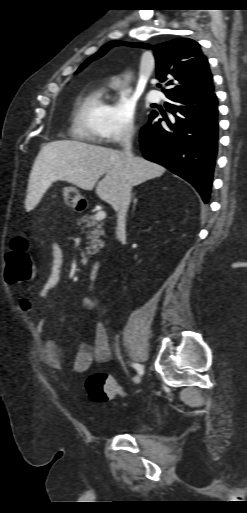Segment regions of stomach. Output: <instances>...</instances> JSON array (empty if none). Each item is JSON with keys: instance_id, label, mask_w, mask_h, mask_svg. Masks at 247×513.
<instances>
[{"instance_id": "stomach-1", "label": "stomach", "mask_w": 247, "mask_h": 513, "mask_svg": "<svg viewBox=\"0 0 247 513\" xmlns=\"http://www.w3.org/2000/svg\"><path fill=\"white\" fill-rule=\"evenodd\" d=\"M64 200L68 206L73 207L75 210H78L80 201L85 200L78 192L75 187H66L64 192Z\"/></svg>"}]
</instances>
